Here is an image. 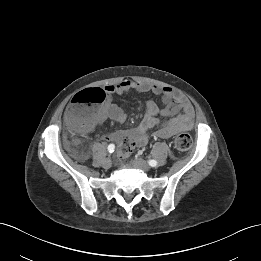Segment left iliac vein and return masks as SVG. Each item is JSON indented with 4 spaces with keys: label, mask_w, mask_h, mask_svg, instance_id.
Instances as JSON below:
<instances>
[{
    "label": "left iliac vein",
    "mask_w": 261,
    "mask_h": 261,
    "mask_svg": "<svg viewBox=\"0 0 261 261\" xmlns=\"http://www.w3.org/2000/svg\"><path fill=\"white\" fill-rule=\"evenodd\" d=\"M131 163L133 166H135L145 172H148L151 169V167L148 165V163L141 158H134L131 160Z\"/></svg>",
    "instance_id": "left-iliac-vein-1"
}]
</instances>
